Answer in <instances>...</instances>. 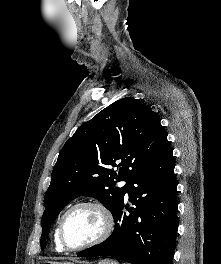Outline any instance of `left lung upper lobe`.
<instances>
[{"mask_svg":"<svg viewBox=\"0 0 221 264\" xmlns=\"http://www.w3.org/2000/svg\"><path fill=\"white\" fill-rule=\"evenodd\" d=\"M166 140L151 108L133 97L112 103L79 127L61 149L44 197L42 249L52 222L74 198L95 197L113 213L128 183L155 159ZM119 181L127 184L116 187Z\"/></svg>","mask_w":221,"mask_h":264,"instance_id":"1","label":"left lung upper lobe"}]
</instances>
